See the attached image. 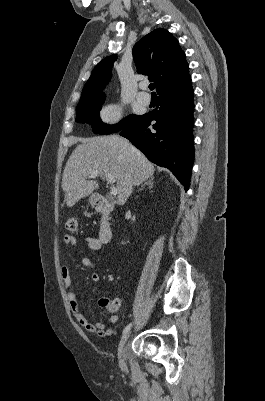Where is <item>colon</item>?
<instances>
[{"label": "colon", "instance_id": "5ec220e1", "mask_svg": "<svg viewBox=\"0 0 265 401\" xmlns=\"http://www.w3.org/2000/svg\"><path fill=\"white\" fill-rule=\"evenodd\" d=\"M77 226H78V223H77V219L75 217L68 218V220L66 222V229L69 232H74L77 229ZM101 305L110 312H116L120 307V302L117 299H113V300L103 299L101 301Z\"/></svg>", "mask_w": 265, "mask_h": 401}]
</instances>
